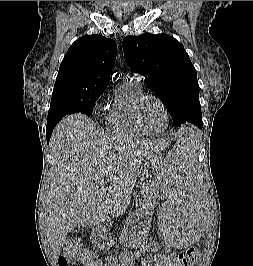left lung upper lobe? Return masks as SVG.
I'll use <instances>...</instances> for the list:
<instances>
[{
  "label": "left lung upper lobe",
  "instance_id": "left-lung-upper-lobe-1",
  "mask_svg": "<svg viewBox=\"0 0 253 266\" xmlns=\"http://www.w3.org/2000/svg\"><path fill=\"white\" fill-rule=\"evenodd\" d=\"M127 65L145 77L169 111L174 123L181 126L202 125L199 84L196 69L183 45L166 34L128 36L123 40Z\"/></svg>",
  "mask_w": 253,
  "mask_h": 266
}]
</instances>
